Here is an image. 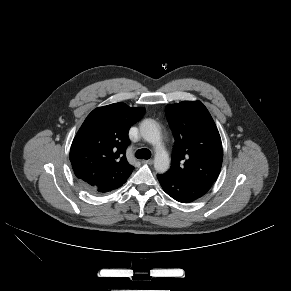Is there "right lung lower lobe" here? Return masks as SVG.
Masks as SVG:
<instances>
[{"label": "right lung lower lobe", "instance_id": "1", "mask_svg": "<svg viewBox=\"0 0 291 291\" xmlns=\"http://www.w3.org/2000/svg\"><path fill=\"white\" fill-rule=\"evenodd\" d=\"M126 180L121 181V180H114V179H102L98 181L94 186H90L86 184H83V185L88 191L98 194V193H106V192L112 191L120 187L122 184H124Z\"/></svg>", "mask_w": 291, "mask_h": 291}]
</instances>
